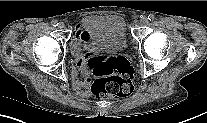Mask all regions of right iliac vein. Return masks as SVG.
<instances>
[{"label":"right iliac vein","mask_w":207,"mask_h":123,"mask_svg":"<svg viewBox=\"0 0 207 123\" xmlns=\"http://www.w3.org/2000/svg\"><path fill=\"white\" fill-rule=\"evenodd\" d=\"M65 27V24L63 23V22H60L59 24H58V28L59 29H63Z\"/></svg>","instance_id":"1"}]
</instances>
